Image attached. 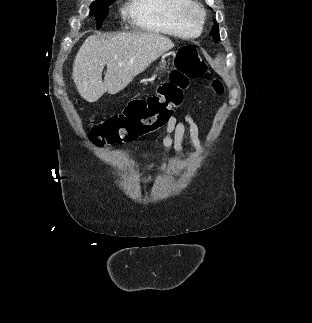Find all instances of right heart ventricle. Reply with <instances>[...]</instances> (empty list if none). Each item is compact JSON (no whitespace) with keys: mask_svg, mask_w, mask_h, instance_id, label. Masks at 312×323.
Instances as JSON below:
<instances>
[{"mask_svg":"<svg viewBox=\"0 0 312 323\" xmlns=\"http://www.w3.org/2000/svg\"><path fill=\"white\" fill-rule=\"evenodd\" d=\"M188 9L185 1L131 0L125 19L151 33H197L199 24Z\"/></svg>","mask_w":312,"mask_h":323,"instance_id":"1","label":"right heart ventricle"}]
</instances>
